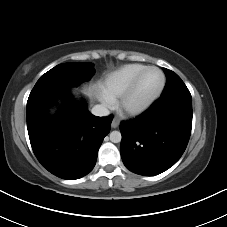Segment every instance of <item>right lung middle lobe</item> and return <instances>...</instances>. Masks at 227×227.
Here are the masks:
<instances>
[{
	"label": "right lung middle lobe",
	"mask_w": 227,
	"mask_h": 227,
	"mask_svg": "<svg viewBox=\"0 0 227 227\" xmlns=\"http://www.w3.org/2000/svg\"><path fill=\"white\" fill-rule=\"evenodd\" d=\"M94 73L95 69L91 63L57 65L40 77L29 95L28 102L48 93L78 85L90 79Z\"/></svg>",
	"instance_id": "right-lung-middle-lobe-1"
}]
</instances>
